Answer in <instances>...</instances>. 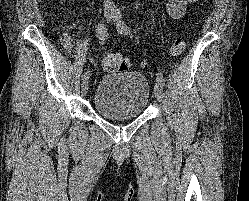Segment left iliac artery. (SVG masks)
<instances>
[{"label": "left iliac artery", "mask_w": 249, "mask_h": 201, "mask_svg": "<svg viewBox=\"0 0 249 201\" xmlns=\"http://www.w3.org/2000/svg\"><path fill=\"white\" fill-rule=\"evenodd\" d=\"M117 29L118 31L121 33V34H125V35H128L130 34V29L129 27L125 24L124 21H121L120 24L117 26ZM156 80L158 82H160L162 85L164 84V78H163V75L161 73H158L157 74V78Z\"/></svg>", "instance_id": "left-iliac-artery-1"}]
</instances>
